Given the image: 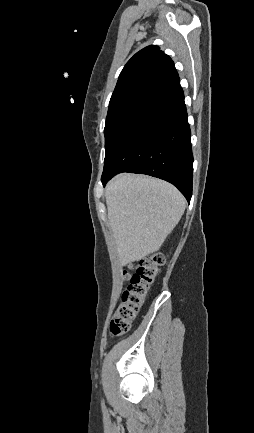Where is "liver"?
<instances>
[{
  "mask_svg": "<svg viewBox=\"0 0 254 433\" xmlns=\"http://www.w3.org/2000/svg\"><path fill=\"white\" fill-rule=\"evenodd\" d=\"M105 196L120 266L158 251L186 207L173 185L132 174L111 180Z\"/></svg>",
  "mask_w": 254,
  "mask_h": 433,
  "instance_id": "obj_1",
  "label": "liver"
}]
</instances>
